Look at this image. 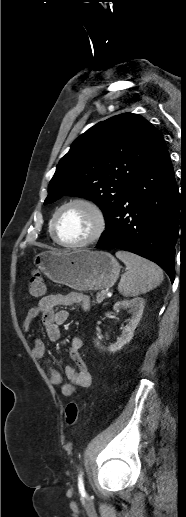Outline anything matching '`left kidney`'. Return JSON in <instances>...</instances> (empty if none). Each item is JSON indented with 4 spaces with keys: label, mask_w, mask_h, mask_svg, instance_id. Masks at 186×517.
<instances>
[{
    "label": "left kidney",
    "mask_w": 186,
    "mask_h": 517,
    "mask_svg": "<svg viewBox=\"0 0 186 517\" xmlns=\"http://www.w3.org/2000/svg\"><path fill=\"white\" fill-rule=\"evenodd\" d=\"M144 299L137 297L131 300H124L115 303L113 306L114 311L119 312L122 309H128V312L131 313V318L129 319L128 324L123 328L121 336L117 339L116 343L111 344L107 350L110 352H116L120 350L125 344L129 343L133 337L134 330L136 329L144 309ZM95 345L98 348L100 344L97 340H95Z\"/></svg>",
    "instance_id": "1"
}]
</instances>
